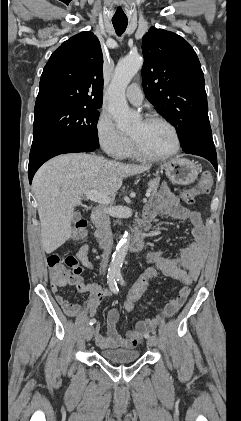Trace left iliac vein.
<instances>
[{"label":"left iliac vein","mask_w":241,"mask_h":421,"mask_svg":"<svg viewBox=\"0 0 241 421\" xmlns=\"http://www.w3.org/2000/svg\"><path fill=\"white\" fill-rule=\"evenodd\" d=\"M147 344L149 346H156L158 344V340H157L156 336L149 337L148 340H147Z\"/></svg>","instance_id":"left-iliac-vein-1"}]
</instances>
